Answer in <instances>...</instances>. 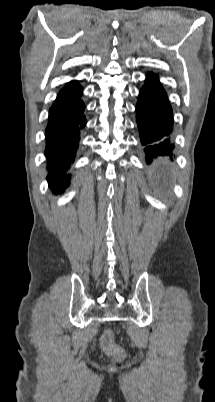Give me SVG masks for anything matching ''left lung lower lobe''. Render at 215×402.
<instances>
[{
    "label": "left lung lower lobe",
    "instance_id": "left-lung-lower-lobe-1",
    "mask_svg": "<svg viewBox=\"0 0 215 402\" xmlns=\"http://www.w3.org/2000/svg\"><path fill=\"white\" fill-rule=\"evenodd\" d=\"M136 114L146 162L149 164L159 156H172L173 111L156 74L146 76L140 89Z\"/></svg>",
    "mask_w": 215,
    "mask_h": 402
}]
</instances>
